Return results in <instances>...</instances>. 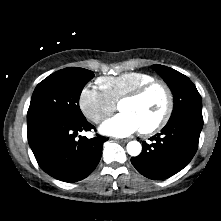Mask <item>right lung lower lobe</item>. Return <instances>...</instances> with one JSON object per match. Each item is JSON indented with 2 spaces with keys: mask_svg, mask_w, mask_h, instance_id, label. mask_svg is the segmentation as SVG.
Instances as JSON below:
<instances>
[{
  "mask_svg": "<svg viewBox=\"0 0 221 221\" xmlns=\"http://www.w3.org/2000/svg\"><path fill=\"white\" fill-rule=\"evenodd\" d=\"M94 126L86 118L50 117L28 125V142L41 169L63 182H77L89 176L98 165L102 136H78Z\"/></svg>",
  "mask_w": 221,
  "mask_h": 221,
  "instance_id": "obj_1",
  "label": "right lung lower lobe"
}]
</instances>
